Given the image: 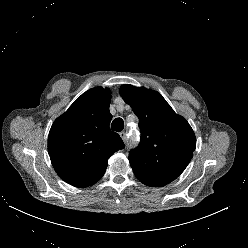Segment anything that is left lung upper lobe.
<instances>
[{"instance_id":"5c2ea615","label":"left lung upper lobe","mask_w":248,"mask_h":248,"mask_svg":"<svg viewBox=\"0 0 248 248\" xmlns=\"http://www.w3.org/2000/svg\"><path fill=\"white\" fill-rule=\"evenodd\" d=\"M119 92L139 119L140 144L128 157L135 176L148 186L167 185L193 157L196 137L191 126L156 91L124 84Z\"/></svg>"}]
</instances>
